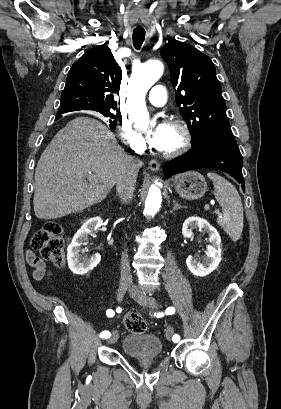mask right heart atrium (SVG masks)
<instances>
[{
  "label": "right heart atrium",
  "mask_w": 281,
  "mask_h": 409,
  "mask_svg": "<svg viewBox=\"0 0 281 409\" xmlns=\"http://www.w3.org/2000/svg\"><path fill=\"white\" fill-rule=\"evenodd\" d=\"M143 115H129V119L121 126V140L130 149L136 152L143 151L144 142L138 134V128Z\"/></svg>",
  "instance_id": "obj_1"
}]
</instances>
